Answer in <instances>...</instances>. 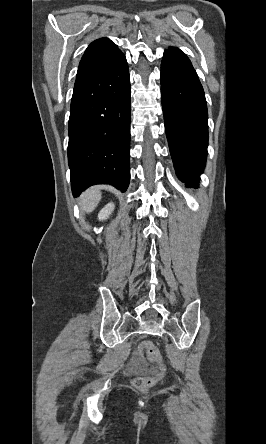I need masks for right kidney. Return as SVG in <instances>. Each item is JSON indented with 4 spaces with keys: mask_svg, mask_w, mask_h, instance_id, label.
Listing matches in <instances>:
<instances>
[{
    "mask_svg": "<svg viewBox=\"0 0 266 444\" xmlns=\"http://www.w3.org/2000/svg\"><path fill=\"white\" fill-rule=\"evenodd\" d=\"M114 204L113 203H108L98 214V219L101 220H106L109 215L113 212L114 210Z\"/></svg>",
    "mask_w": 266,
    "mask_h": 444,
    "instance_id": "ca27d5eb",
    "label": "right kidney"
}]
</instances>
